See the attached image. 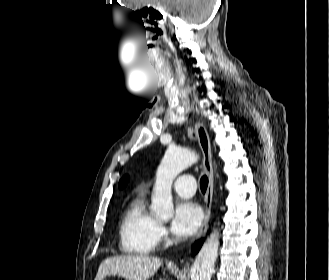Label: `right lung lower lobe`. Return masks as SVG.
Returning a JSON list of instances; mask_svg holds the SVG:
<instances>
[{"instance_id":"1","label":"right lung lower lobe","mask_w":329,"mask_h":280,"mask_svg":"<svg viewBox=\"0 0 329 280\" xmlns=\"http://www.w3.org/2000/svg\"><path fill=\"white\" fill-rule=\"evenodd\" d=\"M202 242H203V240H201V241L195 243V245H194L193 248H192L194 253H197V252H198V250L200 249V247H201V245H202Z\"/></svg>"}]
</instances>
